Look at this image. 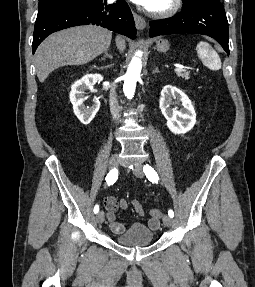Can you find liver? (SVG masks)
Returning <instances> with one entry per match:
<instances>
[{"label":"liver","mask_w":255,"mask_h":287,"mask_svg":"<svg viewBox=\"0 0 255 287\" xmlns=\"http://www.w3.org/2000/svg\"><path fill=\"white\" fill-rule=\"evenodd\" d=\"M112 32L98 26H76L48 36L36 50L35 68L39 82H45L53 70L60 66L88 64L108 50ZM120 52L126 48L125 40L117 36Z\"/></svg>","instance_id":"1"}]
</instances>
